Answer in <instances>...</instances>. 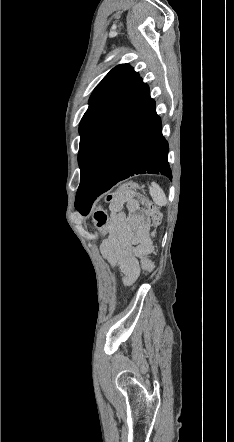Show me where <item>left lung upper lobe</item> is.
Segmentation results:
<instances>
[{"instance_id": "obj_1", "label": "left lung upper lobe", "mask_w": 234, "mask_h": 442, "mask_svg": "<svg viewBox=\"0 0 234 442\" xmlns=\"http://www.w3.org/2000/svg\"><path fill=\"white\" fill-rule=\"evenodd\" d=\"M138 78L139 74L130 65L121 64L114 67L94 89L89 99L88 110L79 126L81 136L79 164L89 137L118 105Z\"/></svg>"}]
</instances>
